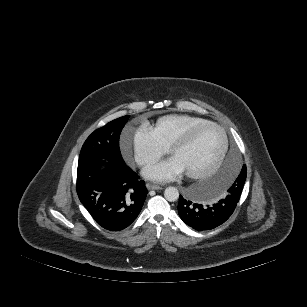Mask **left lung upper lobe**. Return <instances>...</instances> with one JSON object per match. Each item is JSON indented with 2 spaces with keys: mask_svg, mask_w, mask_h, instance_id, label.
Segmentation results:
<instances>
[{
  "mask_svg": "<svg viewBox=\"0 0 307 307\" xmlns=\"http://www.w3.org/2000/svg\"><path fill=\"white\" fill-rule=\"evenodd\" d=\"M246 176H247L246 165H243L240 174L234 181L233 185L228 189V193H232V194L241 196L243 186L246 180Z\"/></svg>",
  "mask_w": 307,
  "mask_h": 307,
  "instance_id": "left-lung-upper-lobe-1",
  "label": "left lung upper lobe"
}]
</instances>
